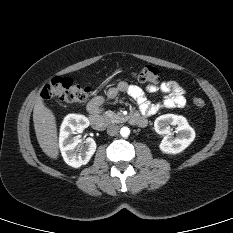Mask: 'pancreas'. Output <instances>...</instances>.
<instances>
[{
  "label": "pancreas",
  "mask_w": 233,
  "mask_h": 233,
  "mask_svg": "<svg viewBox=\"0 0 233 233\" xmlns=\"http://www.w3.org/2000/svg\"><path fill=\"white\" fill-rule=\"evenodd\" d=\"M104 116L109 118L111 121L117 122V123L122 122L124 120L122 115L116 114L111 110L105 111Z\"/></svg>",
  "instance_id": "pancreas-1"
}]
</instances>
